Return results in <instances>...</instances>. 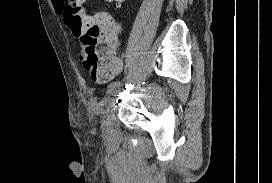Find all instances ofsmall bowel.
Here are the masks:
<instances>
[{
	"instance_id": "1",
	"label": "small bowel",
	"mask_w": 272,
	"mask_h": 183,
	"mask_svg": "<svg viewBox=\"0 0 272 183\" xmlns=\"http://www.w3.org/2000/svg\"><path fill=\"white\" fill-rule=\"evenodd\" d=\"M53 2H54L57 12L63 17V19H65V8H64V4H63L62 0H53ZM120 68H121V61L119 59L116 69L108 78L98 79L94 76H92V77L97 82H106V81L113 79L119 73Z\"/></svg>"
}]
</instances>
